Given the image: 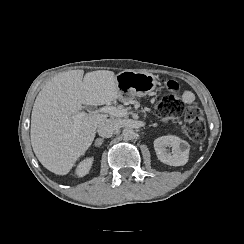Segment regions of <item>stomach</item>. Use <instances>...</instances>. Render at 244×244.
I'll return each mask as SVG.
<instances>
[{"mask_svg": "<svg viewBox=\"0 0 244 244\" xmlns=\"http://www.w3.org/2000/svg\"><path fill=\"white\" fill-rule=\"evenodd\" d=\"M115 83L120 92L119 99L128 101L153 91L157 85V77L147 72L124 70L115 76Z\"/></svg>", "mask_w": 244, "mask_h": 244, "instance_id": "stomach-1", "label": "stomach"}]
</instances>
